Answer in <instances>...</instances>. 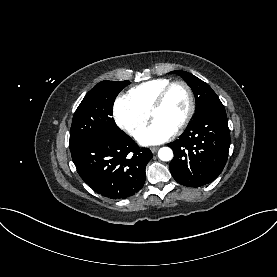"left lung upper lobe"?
Returning <instances> with one entry per match:
<instances>
[{
	"label": "left lung upper lobe",
	"instance_id": "obj_1",
	"mask_svg": "<svg viewBox=\"0 0 277 277\" xmlns=\"http://www.w3.org/2000/svg\"><path fill=\"white\" fill-rule=\"evenodd\" d=\"M170 73H175L181 76L193 90L196 99L194 119L201 113L205 112L208 108L221 103L219 97L211 87L191 73L182 70L172 71Z\"/></svg>",
	"mask_w": 277,
	"mask_h": 277
}]
</instances>
